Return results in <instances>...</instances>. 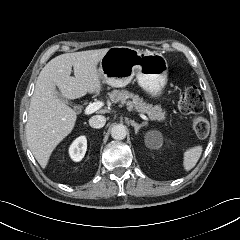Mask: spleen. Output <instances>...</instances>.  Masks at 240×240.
Wrapping results in <instances>:
<instances>
[{
	"mask_svg": "<svg viewBox=\"0 0 240 240\" xmlns=\"http://www.w3.org/2000/svg\"><path fill=\"white\" fill-rule=\"evenodd\" d=\"M203 148L202 146H194L187 149L183 154V167L185 171H190L192 168L195 167L196 163L198 162Z\"/></svg>",
	"mask_w": 240,
	"mask_h": 240,
	"instance_id": "spleen-1",
	"label": "spleen"
}]
</instances>
